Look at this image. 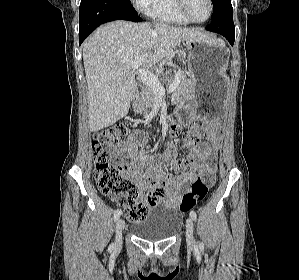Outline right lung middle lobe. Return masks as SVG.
I'll list each match as a JSON object with an SVG mask.
<instances>
[{
  "instance_id": "right-lung-middle-lobe-1",
  "label": "right lung middle lobe",
  "mask_w": 299,
  "mask_h": 280,
  "mask_svg": "<svg viewBox=\"0 0 299 280\" xmlns=\"http://www.w3.org/2000/svg\"><path fill=\"white\" fill-rule=\"evenodd\" d=\"M123 1L124 3H126L130 8H132L133 10H135L130 2V0H121Z\"/></svg>"
}]
</instances>
